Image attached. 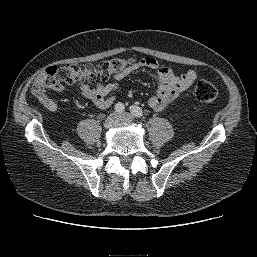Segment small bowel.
<instances>
[{"label":"small bowel","instance_id":"obj_1","mask_svg":"<svg viewBox=\"0 0 257 257\" xmlns=\"http://www.w3.org/2000/svg\"><path fill=\"white\" fill-rule=\"evenodd\" d=\"M137 69H149L155 71L158 83L156 94L150 97L148 105L154 111H163L173 101L178 99L196 80L194 70H188L178 74L172 69L160 66L158 61L151 57L142 58L136 64L130 66L124 73L115 75V81L110 83H96L95 85L81 86V95L91 100L101 109L110 107L114 102V91L118 88L119 81ZM62 85H57L55 92H62Z\"/></svg>","mask_w":257,"mask_h":257}]
</instances>
